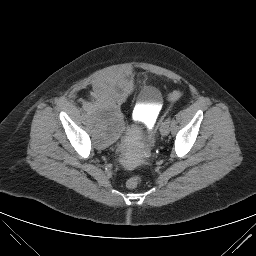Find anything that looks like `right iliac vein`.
I'll use <instances>...</instances> for the list:
<instances>
[{"instance_id":"63e3f726","label":"right iliac vein","mask_w":256,"mask_h":256,"mask_svg":"<svg viewBox=\"0 0 256 256\" xmlns=\"http://www.w3.org/2000/svg\"><path fill=\"white\" fill-rule=\"evenodd\" d=\"M85 115L89 118V119H92L94 117V114L90 111V110H87L85 112Z\"/></svg>"}]
</instances>
